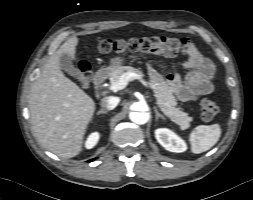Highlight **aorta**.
<instances>
[{
	"label": "aorta",
	"instance_id": "1",
	"mask_svg": "<svg viewBox=\"0 0 253 200\" xmlns=\"http://www.w3.org/2000/svg\"><path fill=\"white\" fill-rule=\"evenodd\" d=\"M146 104L142 102H138L134 104L133 111L130 112L129 118L132 122L142 125L147 123L149 120V115L145 112Z\"/></svg>",
	"mask_w": 253,
	"mask_h": 200
}]
</instances>
